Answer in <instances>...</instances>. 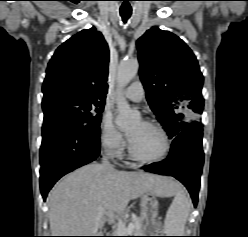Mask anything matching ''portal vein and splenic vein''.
Here are the masks:
<instances>
[{
    "label": "portal vein and splenic vein",
    "instance_id": "1",
    "mask_svg": "<svg viewBox=\"0 0 248 237\" xmlns=\"http://www.w3.org/2000/svg\"><path fill=\"white\" fill-rule=\"evenodd\" d=\"M100 217H101V214H99V216L97 217V220L100 219ZM109 218L116 219L117 216H115L114 214H109ZM118 226H121L123 228V231L126 233H131L134 229L133 223L128 224V226L126 227L125 223L122 222V220H120V219L118 220Z\"/></svg>",
    "mask_w": 248,
    "mask_h": 237
}]
</instances>
